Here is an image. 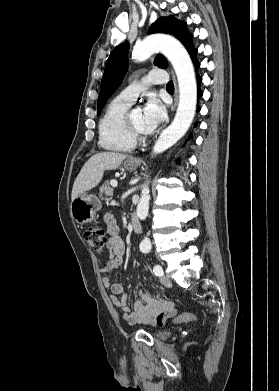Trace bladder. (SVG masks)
I'll return each instance as SVG.
<instances>
[{
  "mask_svg": "<svg viewBox=\"0 0 279 391\" xmlns=\"http://www.w3.org/2000/svg\"><path fill=\"white\" fill-rule=\"evenodd\" d=\"M170 334L171 333L169 331L162 330V331L156 332L155 336H156V338H158L160 340H165L170 336Z\"/></svg>",
  "mask_w": 279,
  "mask_h": 391,
  "instance_id": "1",
  "label": "bladder"
}]
</instances>
